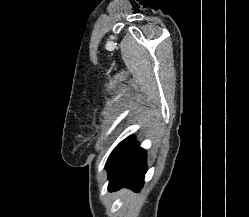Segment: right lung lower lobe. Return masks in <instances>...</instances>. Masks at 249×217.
I'll use <instances>...</instances> for the list:
<instances>
[{
    "label": "right lung lower lobe",
    "instance_id": "right-lung-lower-lobe-1",
    "mask_svg": "<svg viewBox=\"0 0 249 217\" xmlns=\"http://www.w3.org/2000/svg\"><path fill=\"white\" fill-rule=\"evenodd\" d=\"M106 167L109 173V190L129 187L137 192L143 185L147 171L145 150L130 136L113 150Z\"/></svg>",
    "mask_w": 249,
    "mask_h": 217
}]
</instances>
